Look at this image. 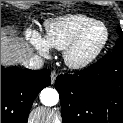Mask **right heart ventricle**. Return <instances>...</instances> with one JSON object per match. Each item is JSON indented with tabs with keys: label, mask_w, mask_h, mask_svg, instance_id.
<instances>
[{
	"label": "right heart ventricle",
	"mask_w": 123,
	"mask_h": 123,
	"mask_svg": "<svg viewBox=\"0 0 123 123\" xmlns=\"http://www.w3.org/2000/svg\"><path fill=\"white\" fill-rule=\"evenodd\" d=\"M95 20L82 14H65L44 23V38L50 48L64 50L74 36Z\"/></svg>",
	"instance_id": "right-heart-ventricle-1"
}]
</instances>
